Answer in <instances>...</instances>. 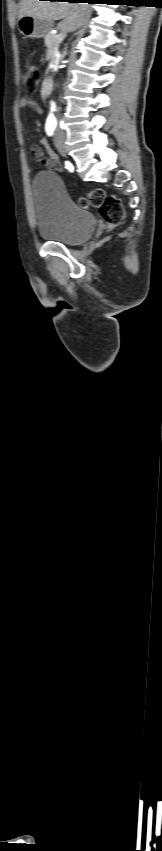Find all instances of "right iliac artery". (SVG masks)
Segmentation results:
<instances>
[{
    "label": "right iliac artery",
    "instance_id": "obj_1",
    "mask_svg": "<svg viewBox=\"0 0 162 851\" xmlns=\"http://www.w3.org/2000/svg\"><path fill=\"white\" fill-rule=\"evenodd\" d=\"M45 129H46L47 134L49 136H51L53 134L54 129H55V125L48 123V124H46Z\"/></svg>",
    "mask_w": 162,
    "mask_h": 851
}]
</instances>
